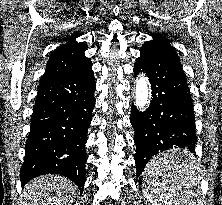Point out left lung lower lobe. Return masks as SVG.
I'll use <instances>...</instances> for the list:
<instances>
[{"label":"left lung lower lobe","mask_w":222,"mask_h":205,"mask_svg":"<svg viewBox=\"0 0 222 205\" xmlns=\"http://www.w3.org/2000/svg\"><path fill=\"white\" fill-rule=\"evenodd\" d=\"M151 36L153 40L143 44L134 66L135 75L141 70L146 73L152 89L145 113L131 107L137 176L155 154L171 148L194 152L197 141L193 101L179 57L163 37Z\"/></svg>","instance_id":"obj_1"}]
</instances>
